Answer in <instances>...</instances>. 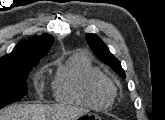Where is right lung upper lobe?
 <instances>
[{"label": "right lung upper lobe", "mask_w": 165, "mask_h": 120, "mask_svg": "<svg viewBox=\"0 0 165 120\" xmlns=\"http://www.w3.org/2000/svg\"><path fill=\"white\" fill-rule=\"evenodd\" d=\"M53 42L54 38L48 34L22 41L10 54H6L0 58V64L40 60L48 53Z\"/></svg>", "instance_id": "1"}]
</instances>
